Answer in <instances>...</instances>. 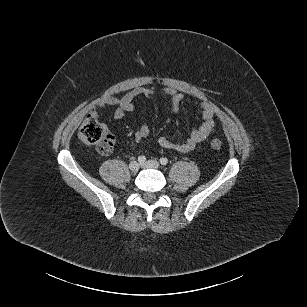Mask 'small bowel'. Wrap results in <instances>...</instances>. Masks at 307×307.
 I'll return each mask as SVG.
<instances>
[{
    "label": "small bowel",
    "mask_w": 307,
    "mask_h": 307,
    "mask_svg": "<svg viewBox=\"0 0 307 307\" xmlns=\"http://www.w3.org/2000/svg\"><path fill=\"white\" fill-rule=\"evenodd\" d=\"M164 94L170 98L171 110L177 112L185 99L184 94L177 92L172 88H165ZM153 95V89L136 87L120 98L109 96L100 100L92 110L91 115L96 118L103 107L109 106L114 108V118L120 119L125 114L133 111L135 100L138 97L143 96L146 98H151ZM199 108L203 121L199 127L195 128L191 132L186 140L176 142L168 137L162 136L158 139L159 146L164 149L174 150L180 153H187L213 134L216 129L215 112L213 108L207 103H200ZM150 135V128L145 124H140L134 133V140L139 144L147 140Z\"/></svg>",
    "instance_id": "c3829d8e"
}]
</instances>
